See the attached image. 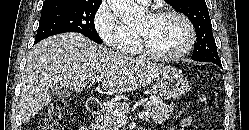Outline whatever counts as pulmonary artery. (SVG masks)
Wrapping results in <instances>:
<instances>
[{"label":"pulmonary artery","mask_w":249,"mask_h":130,"mask_svg":"<svg viewBox=\"0 0 249 130\" xmlns=\"http://www.w3.org/2000/svg\"><path fill=\"white\" fill-rule=\"evenodd\" d=\"M138 2L140 3H143V4H147L149 3L151 0H137Z\"/></svg>","instance_id":"e3ab8cb5"}]
</instances>
